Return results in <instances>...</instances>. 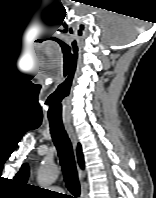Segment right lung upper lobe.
Wrapping results in <instances>:
<instances>
[{
  "label": "right lung upper lobe",
  "mask_w": 156,
  "mask_h": 198,
  "mask_svg": "<svg viewBox=\"0 0 156 198\" xmlns=\"http://www.w3.org/2000/svg\"><path fill=\"white\" fill-rule=\"evenodd\" d=\"M78 161H79V164L81 166V168L84 167V158H83V154H82V150H81V145L78 144Z\"/></svg>",
  "instance_id": "right-lung-upper-lobe-1"
}]
</instances>
